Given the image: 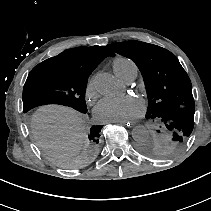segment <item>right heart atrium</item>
<instances>
[{
    "label": "right heart atrium",
    "instance_id": "d8ad5b80",
    "mask_svg": "<svg viewBox=\"0 0 211 211\" xmlns=\"http://www.w3.org/2000/svg\"><path fill=\"white\" fill-rule=\"evenodd\" d=\"M84 93L87 101H93L97 97L98 91L95 83V77H91L87 81Z\"/></svg>",
    "mask_w": 211,
    "mask_h": 211
}]
</instances>
